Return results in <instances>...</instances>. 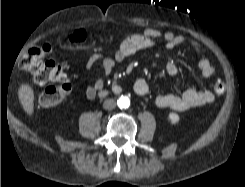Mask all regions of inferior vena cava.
Masks as SVG:
<instances>
[{
	"instance_id": "inferior-vena-cava-1",
	"label": "inferior vena cava",
	"mask_w": 245,
	"mask_h": 187,
	"mask_svg": "<svg viewBox=\"0 0 245 187\" xmlns=\"http://www.w3.org/2000/svg\"><path fill=\"white\" fill-rule=\"evenodd\" d=\"M116 107L114 99H106L103 103V108L106 110H113Z\"/></svg>"
}]
</instances>
